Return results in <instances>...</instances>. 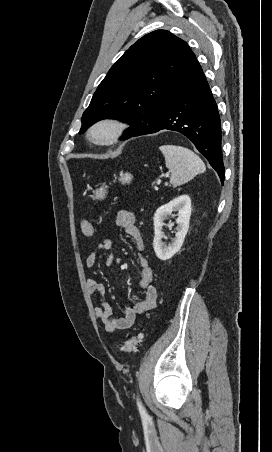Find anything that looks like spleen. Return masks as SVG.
I'll use <instances>...</instances> for the list:
<instances>
[{"instance_id":"obj_1","label":"spleen","mask_w":272,"mask_h":452,"mask_svg":"<svg viewBox=\"0 0 272 452\" xmlns=\"http://www.w3.org/2000/svg\"><path fill=\"white\" fill-rule=\"evenodd\" d=\"M159 149L165 157L166 167L171 170L170 184L174 187L185 184L206 169L200 157L188 148L162 145Z\"/></svg>"}]
</instances>
